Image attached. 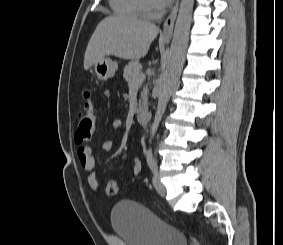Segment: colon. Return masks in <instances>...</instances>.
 Here are the masks:
<instances>
[{"instance_id": "obj_1", "label": "colon", "mask_w": 283, "mask_h": 245, "mask_svg": "<svg viewBox=\"0 0 283 245\" xmlns=\"http://www.w3.org/2000/svg\"><path fill=\"white\" fill-rule=\"evenodd\" d=\"M77 119L78 128L75 133V142L78 144L87 143L93 137L95 123L92 93L89 88H86L83 91V103ZM105 191L109 196H116L118 194V186L116 182L109 181Z\"/></svg>"}]
</instances>
